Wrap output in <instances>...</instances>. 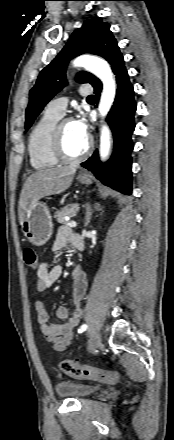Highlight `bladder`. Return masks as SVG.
Instances as JSON below:
<instances>
[{"instance_id":"obj_1","label":"bladder","mask_w":174,"mask_h":440,"mask_svg":"<svg viewBox=\"0 0 174 440\" xmlns=\"http://www.w3.org/2000/svg\"><path fill=\"white\" fill-rule=\"evenodd\" d=\"M97 390V386L83 382H60L55 391L60 397L84 398Z\"/></svg>"}]
</instances>
